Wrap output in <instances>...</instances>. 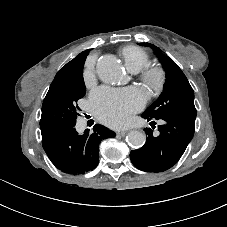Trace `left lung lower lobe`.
Returning a JSON list of instances; mask_svg holds the SVG:
<instances>
[{
	"label": "left lung lower lobe",
	"mask_w": 227,
	"mask_h": 227,
	"mask_svg": "<svg viewBox=\"0 0 227 227\" xmlns=\"http://www.w3.org/2000/svg\"><path fill=\"white\" fill-rule=\"evenodd\" d=\"M141 117L147 121L161 120L163 124L158 126V134L153 133L155 126L144 129L148 135L145 145L130 153L133 165L146 172H162L171 168L192 140L195 120L178 115L152 118L142 114Z\"/></svg>",
	"instance_id": "0a47b994"
}]
</instances>
